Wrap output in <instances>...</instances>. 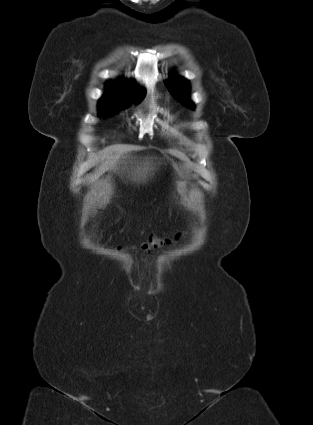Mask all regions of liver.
<instances>
[{"label":"liver","instance_id":"1","mask_svg":"<svg viewBox=\"0 0 313 425\" xmlns=\"http://www.w3.org/2000/svg\"><path fill=\"white\" fill-rule=\"evenodd\" d=\"M120 154L116 155L114 157V160H117L120 158ZM114 163V162H113ZM112 163V164H113ZM108 164H111V161H106V162H102V164L100 165V167L98 169L95 170V174L94 176L91 178L92 181L96 180L100 175H102L107 169H108Z\"/></svg>","mask_w":313,"mask_h":425}]
</instances>
